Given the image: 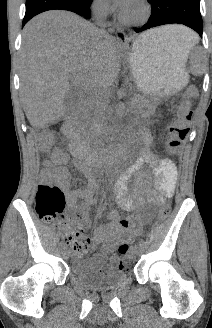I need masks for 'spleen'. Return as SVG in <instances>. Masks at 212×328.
Wrapping results in <instances>:
<instances>
[{
    "mask_svg": "<svg viewBox=\"0 0 212 328\" xmlns=\"http://www.w3.org/2000/svg\"><path fill=\"white\" fill-rule=\"evenodd\" d=\"M198 39H189L187 44L185 45V47L183 48L182 52L183 55L185 57V59L187 60L188 54L190 52V50L193 48V46L197 43Z\"/></svg>",
    "mask_w": 212,
    "mask_h": 328,
    "instance_id": "1",
    "label": "spleen"
}]
</instances>
